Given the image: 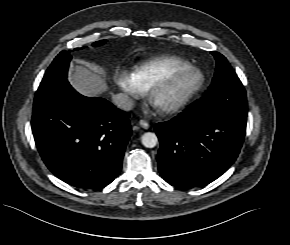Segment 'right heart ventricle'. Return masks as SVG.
<instances>
[{
    "mask_svg": "<svg viewBox=\"0 0 290 245\" xmlns=\"http://www.w3.org/2000/svg\"><path fill=\"white\" fill-rule=\"evenodd\" d=\"M190 66V63L180 57L160 56L149 59L133 69V77L145 92L151 85L165 74Z\"/></svg>",
    "mask_w": 290,
    "mask_h": 245,
    "instance_id": "obj_1",
    "label": "right heart ventricle"
}]
</instances>
